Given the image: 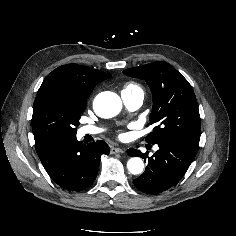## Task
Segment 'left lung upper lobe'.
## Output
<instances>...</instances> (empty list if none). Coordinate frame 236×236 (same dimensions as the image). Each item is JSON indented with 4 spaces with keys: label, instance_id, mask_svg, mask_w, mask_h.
I'll use <instances>...</instances> for the list:
<instances>
[{
    "label": "left lung upper lobe",
    "instance_id": "obj_1",
    "mask_svg": "<svg viewBox=\"0 0 236 236\" xmlns=\"http://www.w3.org/2000/svg\"><path fill=\"white\" fill-rule=\"evenodd\" d=\"M123 73L144 79L151 89L153 109L149 121L155 127L146 136V142L180 141L199 146L198 103L191 85L174 67L165 62H154L126 69Z\"/></svg>",
    "mask_w": 236,
    "mask_h": 236
}]
</instances>
